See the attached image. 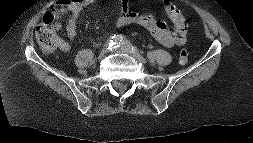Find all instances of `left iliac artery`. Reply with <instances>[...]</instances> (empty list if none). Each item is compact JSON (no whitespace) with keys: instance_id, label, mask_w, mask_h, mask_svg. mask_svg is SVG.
<instances>
[{"instance_id":"obj_1","label":"left iliac artery","mask_w":253,"mask_h":143,"mask_svg":"<svg viewBox=\"0 0 253 143\" xmlns=\"http://www.w3.org/2000/svg\"><path fill=\"white\" fill-rule=\"evenodd\" d=\"M121 47L122 48H124V47H132V49H135V50L139 51L136 47H134L133 45H131L130 41H128L126 39L121 42Z\"/></svg>"}]
</instances>
